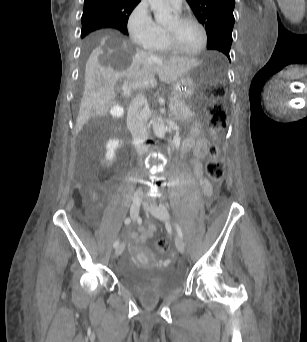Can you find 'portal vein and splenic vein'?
<instances>
[{
  "instance_id": "18ae733b",
  "label": "portal vein and splenic vein",
  "mask_w": 307,
  "mask_h": 342,
  "mask_svg": "<svg viewBox=\"0 0 307 342\" xmlns=\"http://www.w3.org/2000/svg\"><path fill=\"white\" fill-rule=\"evenodd\" d=\"M121 84L123 85L122 87H121V92L122 93H126V95L128 96V97H131L132 95H133V87L132 86H126L127 84H128V81L126 80V79H123L122 81H121ZM171 111H176L177 110V107L176 106H171L170 108H169Z\"/></svg>"
}]
</instances>
